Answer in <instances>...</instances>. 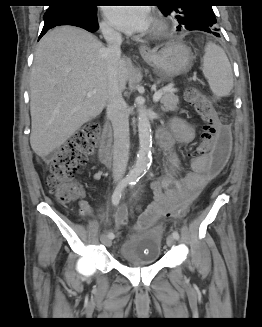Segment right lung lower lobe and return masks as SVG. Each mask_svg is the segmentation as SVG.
Masks as SVG:
<instances>
[{"mask_svg": "<svg viewBox=\"0 0 262 327\" xmlns=\"http://www.w3.org/2000/svg\"><path fill=\"white\" fill-rule=\"evenodd\" d=\"M44 26L39 36L41 38L49 29L61 25L81 27L89 32L98 30L97 8L84 10L70 5L50 6L43 16Z\"/></svg>", "mask_w": 262, "mask_h": 327, "instance_id": "obj_1", "label": "right lung lower lobe"}]
</instances>
